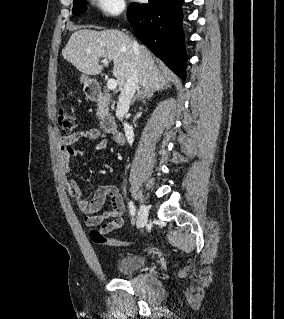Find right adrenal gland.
I'll return each mask as SVG.
<instances>
[{"label": "right adrenal gland", "mask_w": 284, "mask_h": 319, "mask_svg": "<svg viewBox=\"0 0 284 319\" xmlns=\"http://www.w3.org/2000/svg\"><path fill=\"white\" fill-rule=\"evenodd\" d=\"M153 96V91H150L148 89H141L138 90L137 94L134 96L133 100H132V104L136 101V100H142L143 103H146L147 100H150Z\"/></svg>", "instance_id": "2a0ac1e0"}]
</instances>
